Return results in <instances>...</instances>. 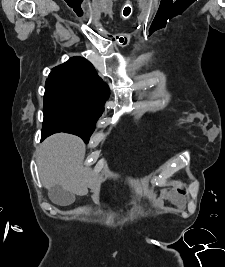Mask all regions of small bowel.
<instances>
[{
	"mask_svg": "<svg viewBox=\"0 0 225 267\" xmlns=\"http://www.w3.org/2000/svg\"><path fill=\"white\" fill-rule=\"evenodd\" d=\"M166 200L171 201L178 208H182L185 205V196L182 194L171 193L164 196L159 204H163Z\"/></svg>",
	"mask_w": 225,
	"mask_h": 267,
	"instance_id": "c3829d8e",
	"label": "small bowel"
}]
</instances>
